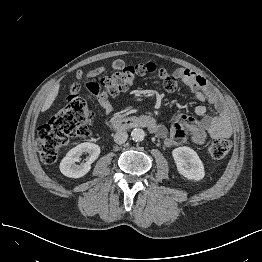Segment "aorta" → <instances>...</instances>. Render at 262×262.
Wrapping results in <instances>:
<instances>
[{"label":"aorta","mask_w":262,"mask_h":262,"mask_svg":"<svg viewBox=\"0 0 262 262\" xmlns=\"http://www.w3.org/2000/svg\"><path fill=\"white\" fill-rule=\"evenodd\" d=\"M145 136H146V134H145L144 130L141 129V128H135L131 132V137L136 142L143 141Z\"/></svg>","instance_id":"obj_1"}]
</instances>
